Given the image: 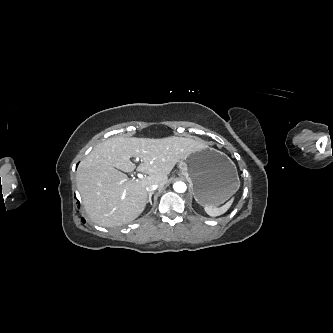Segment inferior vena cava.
Returning <instances> with one entry per match:
<instances>
[{"label": "inferior vena cava", "instance_id": "inferior-vena-cava-1", "mask_svg": "<svg viewBox=\"0 0 333 333\" xmlns=\"http://www.w3.org/2000/svg\"><path fill=\"white\" fill-rule=\"evenodd\" d=\"M157 188H158V184L154 183V184H151V185L147 186L146 190L148 192H152V191H155Z\"/></svg>", "mask_w": 333, "mask_h": 333}]
</instances>
